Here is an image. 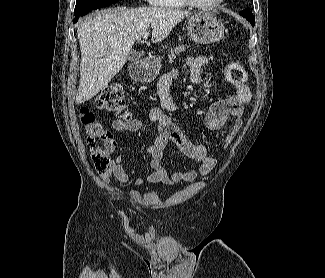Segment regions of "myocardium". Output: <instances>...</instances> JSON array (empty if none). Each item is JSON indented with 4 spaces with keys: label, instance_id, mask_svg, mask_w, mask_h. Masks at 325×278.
<instances>
[{
    "label": "myocardium",
    "instance_id": "myocardium-1",
    "mask_svg": "<svg viewBox=\"0 0 325 278\" xmlns=\"http://www.w3.org/2000/svg\"><path fill=\"white\" fill-rule=\"evenodd\" d=\"M224 0H216L215 2L211 3V4H200L198 2H196L195 0H183V2L191 7V8H195V9H199V10H212L215 9L217 7H219L222 2Z\"/></svg>",
    "mask_w": 325,
    "mask_h": 278
}]
</instances>
